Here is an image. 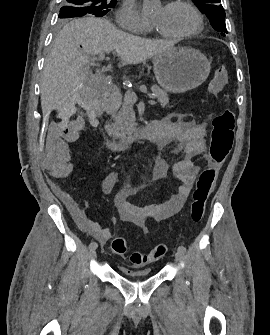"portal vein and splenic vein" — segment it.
Listing matches in <instances>:
<instances>
[{"instance_id": "obj_1", "label": "portal vein and splenic vein", "mask_w": 270, "mask_h": 335, "mask_svg": "<svg viewBox=\"0 0 270 335\" xmlns=\"http://www.w3.org/2000/svg\"><path fill=\"white\" fill-rule=\"evenodd\" d=\"M98 56H99L98 61L102 62L103 58L106 56V53L104 51H100L98 53ZM126 94H127L126 96L127 101H137V100L142 101L144 99V96L142 94L137 95L136 91H133L132 88H127ZM147 102L154 105L157 104V101L153 99L148 100Z\"/></svg>"}]
</instances>
